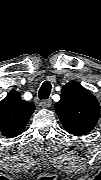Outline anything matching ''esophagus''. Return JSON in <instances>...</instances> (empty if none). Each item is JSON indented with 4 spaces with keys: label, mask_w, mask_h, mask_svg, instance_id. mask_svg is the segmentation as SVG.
Listing matches in <instances>:
<instances>
[{
    "label": "esophagus",
    "mask_w": 101,
    "mask_h": 180,
    "mask_svg": "<svg viewBox=\"0 0 101 180\" xmlns=\"http://www.w3.org/2000/svg\"><path fill=\"white\" fill-rule=\"evenodd\" d=\"M51 100H43L40 102V106L43 108H49L51 106Z\"/></svg>",
    "instance_id": "obj_1"
}]
</instances>
